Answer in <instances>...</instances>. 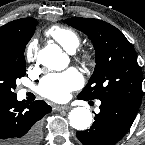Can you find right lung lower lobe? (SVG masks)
Returning <instances> with one entry per match:
<instances>
[{"label": "right lung lower lobe", "instance_id": "obj_1", "mask_svg": "<svg viewBox=\"0 0 145 145\" xmlns=\"http://www.w3.org/2000/svg\"><path fill=\"white\" fill-rule=\"evenodd\" d=\"M51 107L44 101L29 104L18 101L16 94H0V145H37L40 120Z\"/></svg>", "mask_w": 145, "mask_h": 145}]
</instances>
